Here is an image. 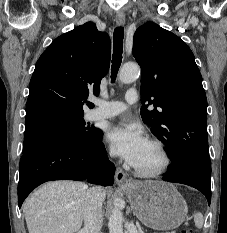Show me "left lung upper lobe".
<instances>
[{
    "instance_id": "obj_1",
    "label": "left lung upper lobe",
    "mask_w": 227,
    "mask_h": 233,
    "mask_svg": "<svg viewBox=\"0 0 227 233\" xmlns=\"http://www.w3.org/2000/svg\"><path fill=\"white\" fill-rule=\"evenodd\" d=\"M133 55L142 69L143 121L166 146L168 171L198 167L211 172L207 99L194 54L170 31L148 22L133 38ZM148 105H144L147 108Z\"/></svg>"
}]
</instances>
